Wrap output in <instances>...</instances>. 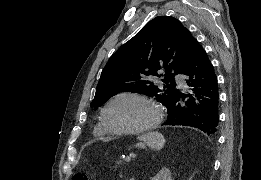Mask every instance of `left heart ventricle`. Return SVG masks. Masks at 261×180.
I'll use <instances>...</instances> for the list:
<instances>
[{
    "mask_svg": "<svg viewBox=\"0 0 261 180\" xmlns=\"http://www.w3.org/2000/svg\"><path fill=\"white\" fill-rule=\"evenodd\" d=\"M151 106L135 97H124L113 103L107 112L110 126L118 132L143 130L150 117Z\"/></svg>",
    "mask_w": 261,
    "mask_h": 180,
    "instance_id": "1",
    "label": "left heart ventricle"
}]
</instances>
